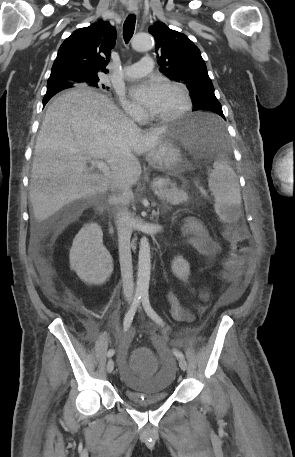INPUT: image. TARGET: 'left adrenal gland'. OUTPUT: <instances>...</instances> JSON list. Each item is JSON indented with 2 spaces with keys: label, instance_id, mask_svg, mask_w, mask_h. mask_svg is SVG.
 Wrapping results in <instances>:
<instances>
[{
  "label": "left adrenal gland",
  "instance_id": "left-adrenal-gland-1",
  "mask_svg": "<svg viewBox=\"0 0 295 457\" xmlns=\"http://www.w3.org/2000/svg\"><path fill=\"white\" fill-rule=\"evenodd\" d=\"M167 210H169V207L167 205H164V212H166Z\"/></svg>",
  "mask_w": 295,
  "mask_h": 457
}]
</instances>
